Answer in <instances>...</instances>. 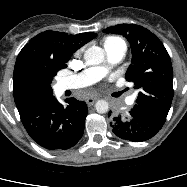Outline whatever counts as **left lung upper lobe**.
Returning <instances> with one entry per match:
<instances>
[{"label":"left lung upper lobe","mask_w":187,"mask_h":187,"mask_svg":"<svg viewBox=\"0 0 187 187\" xmlns=\"http://www.w3.org/2000/svg\"><path fill=\"white\" fill-rule=\"evenodd\" d=\"M103 32L121 34L130 42L133 57L126 80L139 90L137 104L167 116L174 95L173 70L162 42L136 24L111 26Z\"/></svg>","instance_id":"5c2ea615"}]
</instances>
